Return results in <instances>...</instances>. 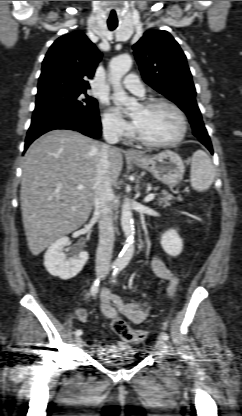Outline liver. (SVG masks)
<instances>
[{
	"label": "liver",
	"instance_id": "obj_1",
	"mask_svg": "<svg viewBox=\"0 0 242 416\" xmlns=\"http://www.w3.org/2000/svg\"><path fill=\"white\" fill-rule=\"evenodd\" d=\"M101 145L83 134L57 129L31 144L23 162L20 191L28 247L39 255L81 227L94 205ZM123 167L119 149L111 152L107 175L114 185ZM83 186L82 190L77 187Z\"/></svg>",
	"mask_w": 242,
	"mask_h": 416
}]
</instances>
